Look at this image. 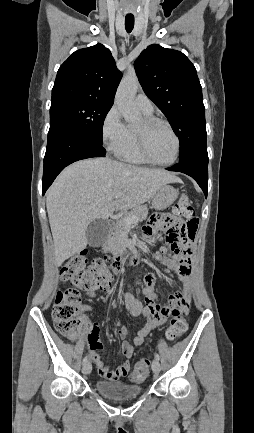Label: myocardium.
<instances>
[{
    "label": "myocardium",
    "mask_w": 254,
    "mask_h": 433,
    "mask_svg": "<svg viewBox=\"0 0 254 433\" xmlns=\"http://www.w3.org/2000/svg\"><path fill=\"white\" fill-rule=\"evenodd\" d=\"M144 123H145L146 129H150V128L158 126V125H162V126L166 127L175 139L176 151H175V155H174L173 159L168 161V162H159V161L155 160L149 152L145 131H137L136 130L135 134H136L137 145H138V149H139V152L142 155V157L148 163L156 165V166L167 167V166H171L174 163H176V161L178 160V158L180 156V152H181V141H180L178 134L173 129V127L167 121L160 119V118H155V117L145 118Z\"/></svg>",
    "instance_id": "myocardium-1"
}]
</instances>
